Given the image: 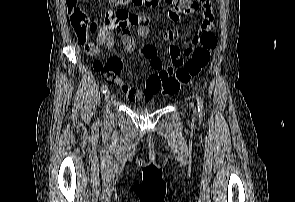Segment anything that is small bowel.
Masks as SVG:
<instances>
[{
  "mask_svg": "<svg viewBox=\"0 0 295 202\" xmlns=\"http://www.w3.org/2000/svg\"><path fill=\"white\" fill-rule=\"evenodd\" d=\"M75 4L80 0H74ZM176 9H181L186 14H192L199 10L202 12V30L207 28H213L214 15L212 11V4L210 0H175ZM176 9H170L168 16L170 20L177 21L179 13ZM128 13V12H127ZM129 15H134L130 14ZM138 17V35L141 39L145 40L150 35L149 22L150 18L147 15H136ZM120 24V20L117 18V11L109 9L106 12V18L104 24L99 29L98 42L86 45V51L91 55H98L101 53V47L106 46L111 48L113 46V36L110 32L112 25ZM122 26V25H121ZM124 29L121 33L122 44L127 52H133L136 48L134 37L126 26H122ZM168 39L173 38L172 35L167 36ZM193 46H186L184 52ZM142 54L150 61L151 68L158 73L165 69L163 67V60L158 52V49L153 45H146L142 49ZM168 54L171 63L176 62L182 55L181 46L175 43H171L168 47ZM169 64V65H170ZM122 59H106L105 63H95V70L102 75H105L106 79L117 84L124 89L128 99L133 101H149L154 96V92L151 90L139 89L136 90L129 86L125 81L118 78L115 75H122L123 68Z\"/></svg>",
  "mask_w": 295,
  "mask_h": 202,
  "instance_id": "1",
  "label": "small bowel"
}]
</instances>
